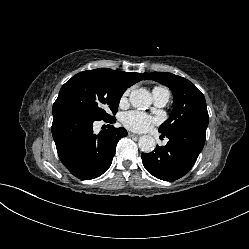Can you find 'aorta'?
<instances>
[{
	"label": "aorta",
	"mask_w": 249,
	"mask_h": 249,
	"mask_svg": "<svg viewBox=\"0 0 249 249\" xmlns=\"http://www.w3.org/2000/svg\"><path fill=\"white\" fill-rule=\"evenodd\" d=\"M130 103L138 109L147 108L152 101L151 94L146 89H136L130 93ZM139 148L143 152H151L154 150L156 143L155 139L150 135H143L139 138Z\"/></svg>",
	"instance_id": "762f6f07"
}]
</instances>
